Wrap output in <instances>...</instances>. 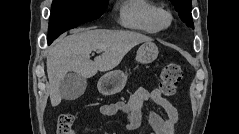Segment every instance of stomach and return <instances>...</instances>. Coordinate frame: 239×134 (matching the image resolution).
I'll return each mask as SVG.
<instances>
[{
  "label": "stomach",
  "instance_id": "0dacf381",
  "mask_svg": "<svg viewBox=\"0 0 239 134\" xmlns=\"http://www.w3.org/2000/svg\"><path fill=\"white\" fill-rule=\"evenodd\" d=\"M158 48L151 41L143 43L136 55V60L142 64L153 62L158 56ZM127 81V75L121 70H114L103 75L98 81V89L104 95H113L122 90Z\"/></svg>",
  "mask_w": 239,
  "mask_h": 134
}]
</instances>
